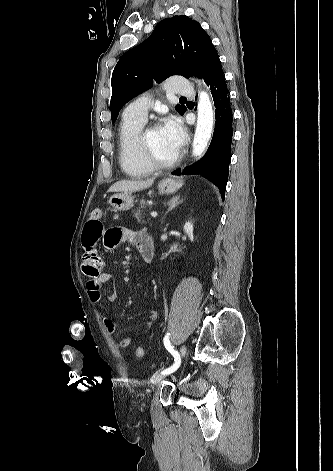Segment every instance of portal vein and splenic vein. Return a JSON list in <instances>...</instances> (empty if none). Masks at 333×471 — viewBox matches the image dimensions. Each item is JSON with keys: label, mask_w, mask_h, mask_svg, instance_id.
Returning <instances> with one entry per match:
<instances>
[{"label": "portal vein and splenic vein", "mask_w": 333, "mask_h": 471, "mask_svg": "<svg viewBox=\"0 0 333 471\" xmlns=\"http://www.w3.org/2000/svg\"><path fill=\"white\" fill-rule=\"evenodd\" d=\"M151 216H152L153 218L157 217V212H154V211L151 212Z\"/></svg>", "instance_id": "1"}]
</instances>
